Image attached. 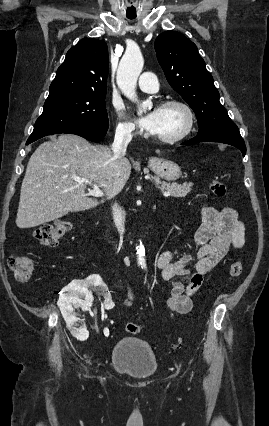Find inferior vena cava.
<instances>
[{"label":"inferior vena cava","instance_id":"1","mask_svg":"<svg viewBox=\"0 0 269 426\" xmlns=\"http://www.w3.org/2000/svg\"><path fill=\"white\" fill-rule=\"evenodd\" d=\"M131 139H132V134L130 131L116 132L114 143L112 146V151L115 158L120 159L123 157V155H125L126 148L129 142L131 141ZM112 212H113V219H114L115 225L120 235H122L125 230L124 228L125 212L116 203L112 207Z\"/></svg>","mask_w":269,"mask_h":426}]
</instances>
